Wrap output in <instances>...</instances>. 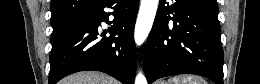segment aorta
<instances>
[{
  "instance_id": "aorta-1",
  "label": "aorta",
  "mask_w": 260,
  "mask_h": 84,
  "mask_svg": "<svg viewBox=\"0 0 260 84\" xmlns=\"http://www.w3.org/2000/svg\"><path fill=\"white\" fill-rule=\"evenodd\" d=\"M158 4L159 0H141L134 32L136 45L140 46L148 37L155 19ZM135 84H147V80L141 72L137 74Z\"/></svg>"
}]
</instances>
